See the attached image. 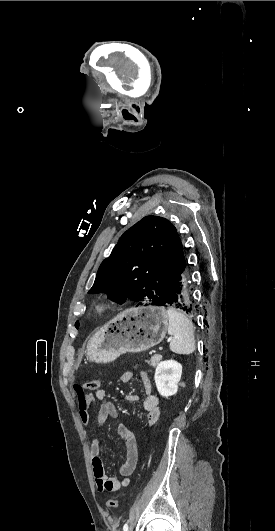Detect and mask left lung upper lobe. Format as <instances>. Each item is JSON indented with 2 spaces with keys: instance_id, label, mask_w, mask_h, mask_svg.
Here are the masks:
<instances>
[{
  "instance_id": "5c2ea615",
  "label": "left lung upper lobe",
  "mask_w": 275,
  "mask_h": 531,
  "mask_svg": "<svg viewBox=\"0 0 275 531\" xmlns=\"http://www.w3.org/2000/svg\"><path fill=\"white\" fill-rule=\"evenodd\" d=\"M186 267L176 228L165 218L146 216L120 237L101 263L88 293L108 292L124 303L163 306Z\"/></svg>"
}]
</instances>
